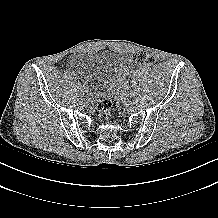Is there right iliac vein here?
Wrapping results in <instances>:
<instances>
[{"instance_id":"1","label":"right iliac vein","mask_w":218,"mask_h":218,"mask_svg":"<svg viewBox=\"0 0 218 218\" xmlns=\"http://www.w3.org/2000/svg\"><path fill=\"white\" fill-rule=\"evenodd\" d=\"M81 93H86V88H84L83 86L80 88Z\"/></svg>"}]
</instances>
